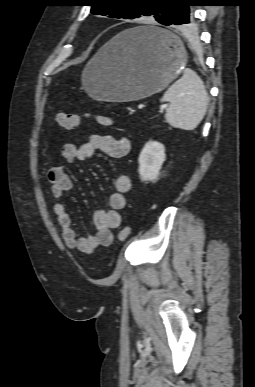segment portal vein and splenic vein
<instances>
[{"label": "portal vein and splenic vein", "mask_w": 255, "mask_h": 387, "mask_svg": "<svg viewBox=\"0 0 255 387\" xmlns=\"http://www.w3.org/2000/svg\"><path fill=\"white\" fill-rule=\"evenodd\" d=\"M166 108H167V105H166V104L160 106V110H164V109H166Z\"/></svg>", "instance_id": "obj_1"}]
</instances>
